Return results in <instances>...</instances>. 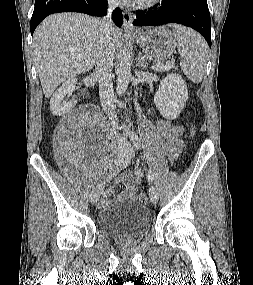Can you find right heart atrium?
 I'll use <instances>...</instances> for the list:
<instances>
[{
	"label": "right heart atrium",
	"mask_w": 253,
	"mask_h": 285,
	"mask_svg": "<svg viewBox=\"0 0 253 285\" xmlns=\"http://www.w3.org/2000/svg\"><path fill=\"white\" fill-rule=\"evenodd\" d=\"M110 2H112V3H115V2H117L118 0H109Z\"/></svg>",
	"instance_id": "right-heart-atrium-1"
}]
</instances>
